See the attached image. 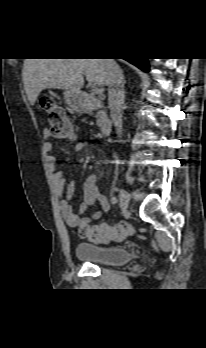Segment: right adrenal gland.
<instances>
[{"instance_id": "1", "label": "right adrenal gland", "mask_w": 206, "mask_h": 348, "mask_svg": "<svg viewBox=\"0 0 206 348\" xmlns=\"http://www.w3.org/2000/svg\"><path fill=\"white\" fill-rule=\"evenodd\" d=\"M123 80H124V83H126L124 75H123Z\"/></svg>"}]
</instances>
